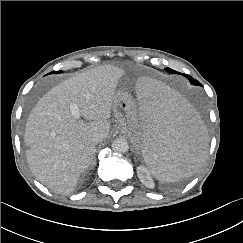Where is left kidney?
<instances>
[{
    "label": "left kidney",
    "instance_id": "5707ae66",
    "mask_svg": "<svg viewBox=\"0 0 243 243\" xmlns=\"http://www.w3.org/2000/svg\"><path fill=\"white\" fill-rule=\"evenodd\" d=\"M137 174H138V178L140 179L142 184H144L148 188H154V181H153L152 177L150 176V173L147 170V168H145L143 166H139L137 168Z\"/></svg>",
    "mask_w": 243,
    "mask_h": 243
}]
</instances>
